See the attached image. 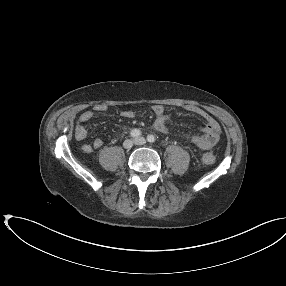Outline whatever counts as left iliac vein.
<instances>
[{
	"label": "left iliac vein",
	"mask_w": 286,
	"mask_h": 286,
	"mask_svg": "<svg viewBox=\"0 0 286 286\" xmlns=\"http://www.w3.org/2000/svg\"><path fill=\"white\" fill-rule=\"evenodd\" d=\"M146 143V139L144 137H139L135 139V144L144 145Z\"/></svg>",
	"instance_id": "left-iliac-vein-1"
}]
</instances>
